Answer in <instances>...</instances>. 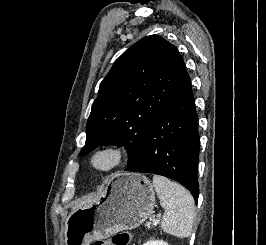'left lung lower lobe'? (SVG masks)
<instances>
[{
    "instance_id": "1",
    "label": "left lung lower lobe",
    "mask_w": 266,
    "mask_h": 245,
    "mask_svg": "<svg viewBox=\"0 0 266 245\" xmlns=\"http://www.w3.org/2000/svg\"><path fill=\"white\" fill-rule=\"evenodd\" d=\"M199 150L198 116L186 73L148 128L139 157L125 171L171 178L186 187L197 201Z\"/></svg>"
}]
</instances>
